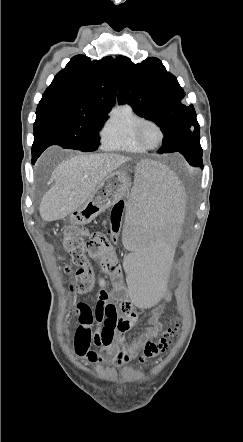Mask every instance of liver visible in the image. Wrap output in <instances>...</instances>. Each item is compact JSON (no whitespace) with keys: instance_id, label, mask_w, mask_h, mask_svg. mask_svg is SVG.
<instances>
[{"instance_id":"1","label":"liver","mask_w":243,"mask_h":442,"mask_svg":"<svg viewBox=\"0 0 243 442\" xmlns=\"http://www.w3.org/2000/svg\"><path fill=\"white\" fill-rule=\"evenodd\" d=\"M129 160L114 153H89L63 161L52 173L54 186L41 200V218L51 222L70 215L87 201L108 175Z\"/></svg>"}]
</instances>
